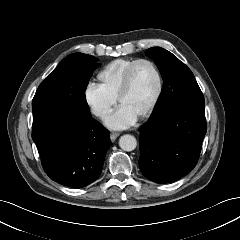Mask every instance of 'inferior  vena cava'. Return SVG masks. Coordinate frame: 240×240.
I'll return each mask as SVG.
<instances>
[{"label": "inferior vena cava", "mask_w": 240, "mask_h": 240, "mask_svg": "<svg viewBox=\"0 0 240 240\" xmlns=\"http://www.w3.org/2000/svg\"><path fill=\"white\" fill-rule=\"evenodd\" d=\"M97 116H99V117H101V118H104V117H105V114L102 113V112H98V113H97Z\"/></svg>", "instance_id": "obj_1"}]
</instances>
